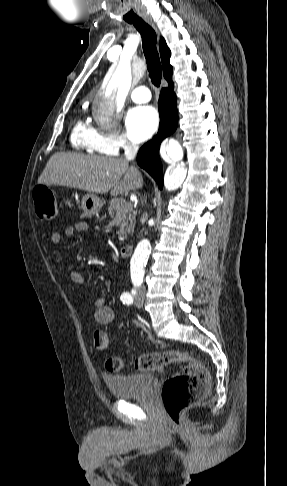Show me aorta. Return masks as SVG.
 <instances>
[{
  "label": "aorta",
  "instance_id": "1",
  "mask_svg": "<svg viewBox=\"0 0 287 486\" xmlns=\"http://www.w3.org/2000/svg\"><path fill=\"white\" fill-rule=\"evenodd\" d=\"M132 82L130 64L120 61L116 71L107 83L105 89L98 95L94 103V116L101 123H110L119 115L123 102ZM167 154L175 160L183 157L182 147L178 141L170 139L166 146ZM187 169L183 163L173 164L168 170L164 186L168 191L178 189L184 182ZM151 245L148 239H142L131 259V278L137 280L143 275L144 266L149 258Z\"/></svg>",
  "mask_w": 287,
  "mask_h": 486
}]
</instances>
